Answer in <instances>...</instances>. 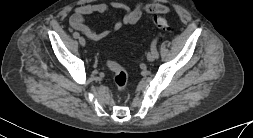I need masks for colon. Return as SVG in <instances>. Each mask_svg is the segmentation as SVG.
<instances>
[{"label":"colon","instance_id":"obj_1","mask_svg":"<svg viewBox=\"0 0 253 138\" xmlns=\"http://www.w3.org/2000/svg\"><path fill=\"white\" fill-rule=\"evenodd\" d=\"M152 23L154 27L161 31H170L171 27L169 22L162 16L156 15L152 18ZM107 67L113 72L114 83L120 91H123L127 85V73L122 66L113 61L112 59H108L106 62Z\"/></svg>","mask_w":253,"mask_h":138}]
</instances>
